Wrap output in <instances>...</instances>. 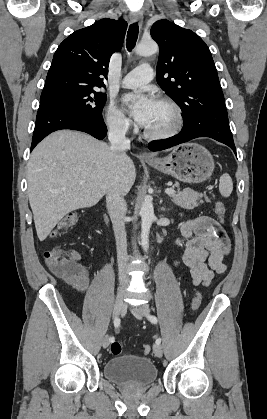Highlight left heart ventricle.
Instances as JSON below:
<instances>
[{
    "instance_id": "1",
    "label": "left heart ventricle",
    "mask_w": 267,
    "mask_h": 419,
    "mask_svg": "<svg viewBox=\"0 0 267 419\" xmlns=\"http://www.w3.org/2000/svg\"><path fill=\"white\" fill-rule=\"evenodd\" d=\"M175 122V115L172 108L162 102L155 101L150 118L145 128L159 132L170 128Z\"/></svg>"
}]
</instances>
